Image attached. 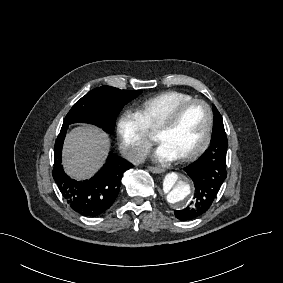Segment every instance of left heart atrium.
<instances>
[{"mask_svg":"<svg viewBox=\"0 0 283 283\" xmlns=\"http://www.w3.org/2000/svg\"><path fill=\"white\" fill-rule=\"evenodd\" d=\"M154 157L162 163H167L176 160L178 157L165 144H160L154 153Z\"/></svg>","mask_w":283,"mask_h":283,"instance_id":"1","label":"left heart atrium"}]
</instances>
